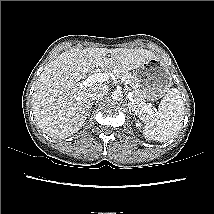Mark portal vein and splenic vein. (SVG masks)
<instances>
[{
    "instance_id": "obj_1",
    "label": "portal vein and splenic vein",
    "mask_w": 214,
    "mask_h": 214,
    "mask_svg": "<svg viewBox=\"0 0 214 214\" xmlns=\"http://www.w3.org/2000/svg\"><path fill=\"white\" fill-rule=\"evenodd\" d=\"M109 79V73H94L92 75H90L87 79H85L80 86L83 88L89 87L91 85H93L96 82H104L107 81ZM125 79V78H124ZM127 84V83H126ZM125 87L127 88V90H130L129 87H127V85H125ZM127 97L130 101L133 100V92L129 91L127 94ZM144 112L148 113V114H152L153 110L150 108V106L146 105L144 107Z\"/></svg>"
}]
</instances>
